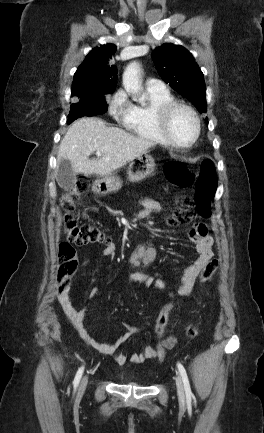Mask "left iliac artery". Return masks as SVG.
Instances as JSON below:
<instances>
[{
  "instance_id": "left-iliac-artery-1",
  "label": "left iliac artery",
  "mask_w": 264,
  "mask_h": 433,
  "mask_svg": "<svg viewBox=\"0 0 264 433\" xmlns=\"http://www.w3.org/2000/svg\"><path fill=\"white\" fill-rule=\"evenodd\" d=\"M177 367H178V370L180 372V375H181L183 383H184V389H185V393H186L187 402L190 403L191 397H192V392H191V388H190V384H189L186 370L181 363H178Z\"/></svg>"
}]
</instances>
